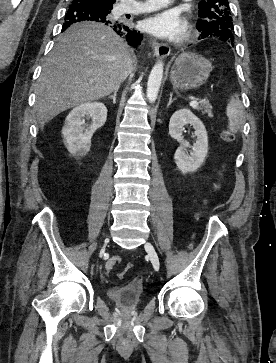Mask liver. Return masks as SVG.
I'll return each mask as SVG.
<instances>
[{"label":"liver","instance_id":"liver-1","mask_svg":"<svg viewBox=\"0 0 276 363\" xmlns=\"http://www.w3.org/2000/svg\"><path fill=\"white\" fill-rule=\"evenodd\" d=\"M132 51L110 27L70 26L57 39L36 86L35 111L44 126L67 109L110 95L133 70Z\"/></svg>","mask_w":276,"mask_h":363}]
</instances>
